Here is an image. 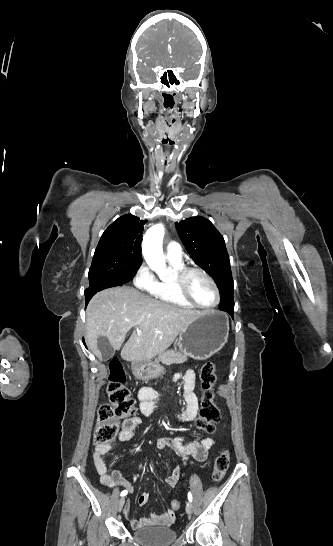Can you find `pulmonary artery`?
<instances>
[{
  "label": "pulmonary artery",
  "mask_w": 333,
  "mask_h": 546,
  "mask_svg": "<svg viewBox=\"0 0 333 546\" xmlns=\"http://www.w3.org/2000/svg\"><path fill=\"white\" fill-rule=\"evenodd\" d=\"M166 258L176 262H181L183 260V252L178 242L172 241L167 245Z\"/></svg>",
  "instance_id": "1"
}]
</instances>
